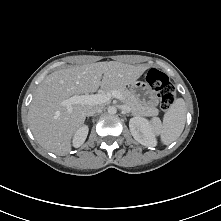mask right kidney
Listing matches in <instances>:
<instances>
[{
	"label": "right kidney",
	"mask_w": 221,
	"mask_h": 221,
	"mask_svg": "<svg viewBox=\"0 0 221 221\" xmlns=\"http://www.w3.org/2000/svg\"><path fill=\"white\" fill-rule=\"evenodd\" d=\"M88 131V126L84 125L75 132L73 137V146L75 148L80 147L85 142L88 135Z\"/></svg>",
	"instance_id": "right-kidney-1"
}]
</instances>
